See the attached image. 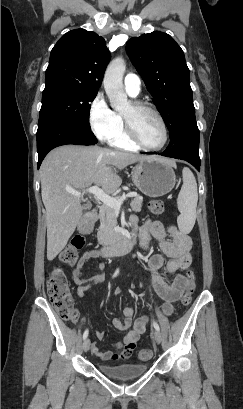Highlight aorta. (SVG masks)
<instances>
[{"label":"aorta","mask_w":243,"mask_h":409,"mask_svg":"<svg viewBox=\"0 0 243 409\" xmlns=\"http://www.w3.org/2000/svg\"><path fill=\"white\" fill-rule=\"evenodd\" d=\"M125 61L118 57L111 61L104 75V88L113 109L119 110L127 105L128 98L123 90Z\"/></svg>","instance_id":"aorta-1"}]
</instances>
